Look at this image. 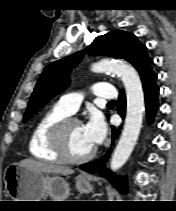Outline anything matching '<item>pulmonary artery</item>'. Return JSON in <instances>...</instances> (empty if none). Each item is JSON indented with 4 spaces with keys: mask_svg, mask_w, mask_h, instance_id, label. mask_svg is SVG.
<instances>
[{
    "mask_svg": "<svg viewBox=\"0 0 176 211\" xmlns=\"http://www.w3.org/2000/svg\"><path fill=\"white\" fill-rule=\"evenodd\" d=\"M93 94L97 98L113 100L116 97V91L112 84L98 82L93 87ZM83 97L79 93H69L63 95L59 101L58 105L64 109L69 114H73L77 111L80 106Z\"/></svg>",
    "mask_w": 176,
    "mask_h": 211,
    "instance_id": "pulmonary-artery-1",
    "label": "pulmonary artery"
}]
</instances>
